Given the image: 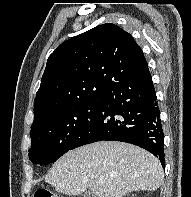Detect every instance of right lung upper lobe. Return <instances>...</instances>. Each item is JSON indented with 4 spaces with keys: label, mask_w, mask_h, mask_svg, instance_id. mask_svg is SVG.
I'll return each instance as SVG.
<instances>
[{
    "label": "right lung upper lobe",
    "mask_w": 191,
    "mask_h": 197,
    "mask_svg": "<svg viewBox=\"0 0 191 197\" xmlns=\"http://www.w3.org/2000/svg\"><path fill=\"white\" fill-rule=\"evenodd\" d=\"M147 66L134 38L115 24L63 42L47 60L31 127L72 106L98 101L109 86Z\"/></svg>",
    "instance_id": "obj_1"
}]
</instances>
